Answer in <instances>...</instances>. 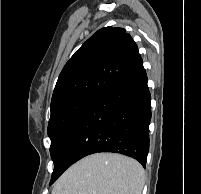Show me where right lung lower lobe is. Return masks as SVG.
<instances>
[{"mask_svg": "<svg viewBox=\"0 0 201 194\" xmlns=\"http://www.w3.org/2000/svg\"><path fill=\"white\" fill-rule=\"evenodd\" d=\"M151 95L143 63L101 93L63 133L53 156L56 175L97 152L120 153L146 165Z\"/></svg>", "mask_w": 201, "mask_h": 194, "instance_id": "right-lung-lower-lobe-1", "label": "right lung lower lobe"}]
</instances>
